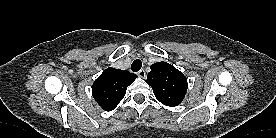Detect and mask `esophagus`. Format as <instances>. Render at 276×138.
Here are the masks:
<instances>
[{
	"mask_svg": "<svg viewBox=\"0 0 276 138\" xmlns=\"http://www.w3.org/2000/svg\"><path fill=\"white\" fill-rule=\"evenodd\" d=\"M138 76L141 77V78H145L146 77V72L144 69H141L139 72H138Z\"/></svg>",
	"mask_w": 276,
	"mask_h": 138,
	"instance_id": "1",
	"label": "esophagus"
}]
</instances>
